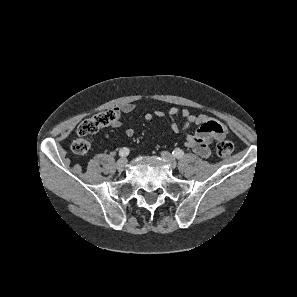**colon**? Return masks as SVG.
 <instances>
[{
  "label": "colon",
  "instance_id": "obj_1",
  "mask_svg": "<svg viewBox=\"0 0 297 297\" xmlns=\"http://www.w3.org/2000/svg\"><path fill=\"white\" fill-rule=\"evenodd\" d=\"M118 118L116 110L100 112L83 122L77 128L78 137L72 142L71 150L78 156L87 154L90 142L87 137L95 134L99 129L112 124ZM233 144L227 139H221L216 145V152L221 157H227L232 153Z\"/></svg>",
  "mask_w": 297,
  "mask_h": 297
}]
</instances>
